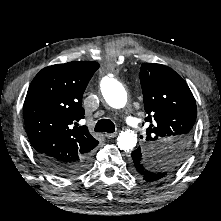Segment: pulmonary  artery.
Instances as JSON below:
<instances>
[{"instance_id":"pulmonary-artery-1","label":"pulmonary artery","mask_w":221,"mask_h":221,"mask_svg":"<svg viewBox=\"0 0 221 221\" xmlns=\"http://www.w3.org/2000/svg\"><path fill=\"white\" fill-rule=\"evenodd\" d=\"M125 121L131 127H136L137 126V121L134 118L130 117V116L126 117Z\"/></svg>"}]
</instances>
